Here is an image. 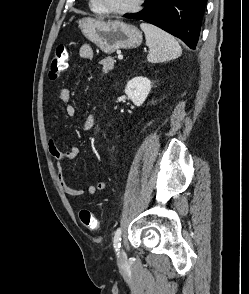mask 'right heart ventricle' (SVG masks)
I'll list each match as a JSON object with an SVG mask.
<instances>
[{
	"instance_id": "e07e8e85",
	"label": "right heart ventricle",
	"mask_w": 249,
	"mask_h": 294,
	"mask_svg": "<svg viewBox=\"0 0 249 294\" xmlns=\"http://www.w3.org/2000/svg\"><path fill=\"white\" fill-rule=\"evenodd\" d=\"M89 7L94 13H97V14L103 13L102 10L100 9V7L95 2V0H89Z\"/></svg>"
}]
</instances>
